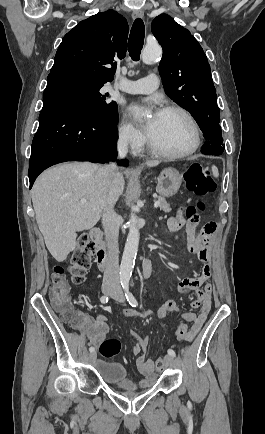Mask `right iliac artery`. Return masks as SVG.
Segmentation results:
<instances>
[{
	"instance_id": "1",
	"label": "right iliac artery",
	"mask_w": 265,
	"mask_h": 434,
	"mask_svg": "<svg viewBox=\"0 0 265 434\" xmlns=\"http://www.w3.org/2000/svg\"><path fill=\"white\" fill-rule=\"evenodd\" d=\"M108 299H109L108 296L104 295V296H102V297L100 298V301H101V303H104V304H105V303L108 302ZM94 350H95L94 347H90V348H89V351H90V352H94Z\"/></svg>"
}]
</instances>
